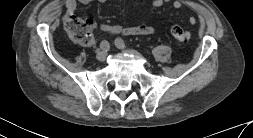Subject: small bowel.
Here are the masks:
<instances>
[{
  "label": "small bowel",
  "instance_id": "obj_1",
  "mask_svg": "<svg viewBox=\"0 0 253 138\" xmlns=\"http://www.w3.org/2000/svg\"><path fill=\"white\" fill-rule=\"evenodd\" d=\"M94 1H98L101 3H104L108 0H66L65 1V9H66V15H71L75 9L77 8V2L82 4H88ZM171 0H152V5L154 7H161L167 3H169ZM174 9H180L184 6V2L181 0H176L172 4ZM189 22L191 24L196 23V18L191 17L189 18ZM99 29L102 32H109L113 34H120L125 36H131V35H151L154 34L156 29L154 26L146 25V24H139L137 26L132 27H123L120 25H111L108 23H102L99 25Z\"/></svg>",
  "mask_w": 253,
  "mask_h": 138
}]
</instances>
